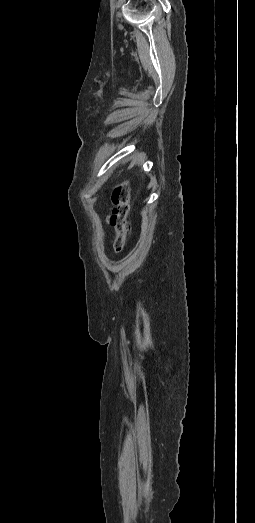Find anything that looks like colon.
<instances>
[{"instance_id": "colon-1", "label": "colon", "mask_w": 255, "mask_h": 523, "mask_svg": "<svg viewBox=\"0 0 255 523\" xmlns=\"http://www.w3.org/2000/svg\"><path fill=\"white\" fill-rule=\"evenodd\" d=\"M111 201L115 206L113 214L110 217V223L116 232L113 248L116 252H121L125 247L131 231L128 220L131 204V190L127 181L121 182L114 188Z\"/></svg>"}]
</instances>
